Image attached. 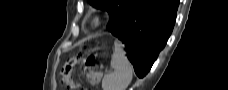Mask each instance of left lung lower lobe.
Returning <instances> with one entry per match:
<instances>
[{
	"label": "left lung lower lobe",
	"instance_id": "left-lung-lower-lobe-1",
	"mask_svg": "<svg viewBox=\"0 0 228 90\" xmlns=\"http://www.w3.org/2000/svg\"><path fill=\"white\" fill-rule=\"evenodd\" d=\"M179 0H130L108 28L125 46L138 77L150 70L175 23Z\"/></svg>",
	"mask_w": 228,
	"mask_h": 90
}]
</instances>
